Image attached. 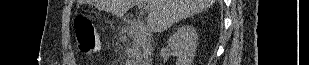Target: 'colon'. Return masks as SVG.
<instances>
[{"label": "colon", "instance_id": "colon-1", "mask_svg": "<svg viewBox=\"0 0 309 65\" xmlns=\"http://www.w3.org/2000/svg\"><path fill=\"white\" fill-rule=\"evenodd\" d=\"M77 44L85 55H92L100 50L101 42L90 16L81 14L74 20Z\"/></svg>", "mask_w": 309, "mask_h": 65}]
</instances>
